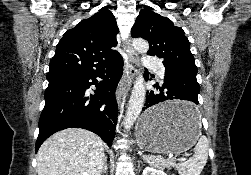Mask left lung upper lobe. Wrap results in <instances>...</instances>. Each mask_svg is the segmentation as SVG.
<instances>
[{
    "label": "left lung upper lobe",
    "instance_id": "left-lung-upper-lobe-1",
    "mask_svg": "<svg viewBox=\"0 0 251 175\" xmlns=\"http://www.w3.org/2000/svg\"><path fill=\"white\" fill-rule=\"evenodd\" d=\"M132 37L149 42L148 55L163 59L165 68H177L197 74L190 43L182 28L167 17L151 10H141L131 30Z\"/></svg>",
    "mask_w": 251,
    "mask_h": 175
}]
</instances>
